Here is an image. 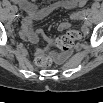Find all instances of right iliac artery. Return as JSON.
I'll return each mask as SVG.
<instances>
[{"label":"right iliac artery","instance_id":"obj_1","mask_svg":"<svg viewBox=\"0 0 103 103\" xmlns=\"http://www.w3.org/2000/svg\"><path fill=\"white\" fill-rule=\"evenodd\" d=\"M11 11H12V12H17V11H18V9H17V7H16V6H12V7H11Z\"/></svg>","mask_w":103,"mask_h":103}]
</instances>
